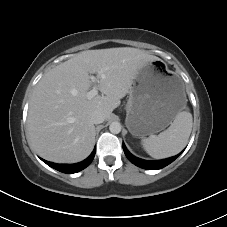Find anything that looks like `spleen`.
<instances>
[{
	"label": "spleen",
	"instance_id": "obj_1",
	"mask_svg": "<svg viewBox=\"0 0 227 227\" xmlns=\"http://www.w3.org/2000/svg\"><path fill=\"white\" fill-rule=\"evenodd\" d=\"M192 125V114L189 111L179 112L168 129L157 136L142 139L143 148L156 159L174 156L186 146Z\"/></svg>",
	"mask_w": 227,
	"mask_h": 227
}]
</instances>
